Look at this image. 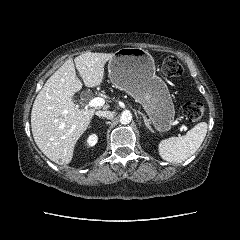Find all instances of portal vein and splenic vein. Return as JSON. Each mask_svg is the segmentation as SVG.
<instances>
[{"label":"portal vein and splenic vein","instance_id":"1","mask_svg":"<svg viewBox=\"0 0 240 240\" xmlns=\"http://www.w3.org/2000/svg\"><path fill=\"white\" fill-rule=\"evenodd\" d=\"M104 103H105V100L103 98L96 97V98L91 99L88 102L87 106H89V107H101V106L104 105ZM179 129H180L181 132L182 131H187V127L185 125H181Z\"/></svg>","mask_w":240,"mask_h":240}]
</instances>
